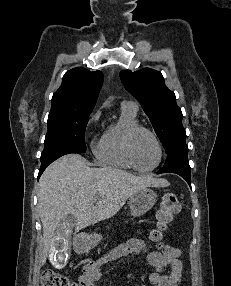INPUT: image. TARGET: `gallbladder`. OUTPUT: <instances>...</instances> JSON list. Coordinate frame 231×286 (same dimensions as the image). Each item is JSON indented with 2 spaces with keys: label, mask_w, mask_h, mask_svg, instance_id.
<instances>
[{
  "label": "gallbladder",
  "mask_w": 231,
  "mask_h": 286,
  "mask_svg": "<svg viewBox=\"0 0 231 286\" xmlns=\"http://www.w3.org/2000/svg\"><path fill=\"white\" fill-rule=\"evenodd\" d=\"M77 225V219L73 213L65 214V216L61 217V221L57 222L56 230L57 236H54L50 245L49 257L50 263L56 269L64 268L68 259L70 258V250L72 241H70L71 230L75 228Z\"/></svg>",
  "instance_id": "obj_1"
}]
</instances>
